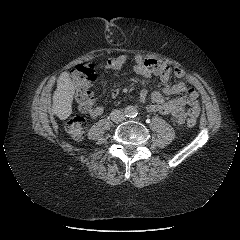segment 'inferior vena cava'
<instances>
[{"instance_id": "1", "label": "inferior vena cava", "mask_w": 240, "mask_h": 240, "mask_svg": "<svg viewBox=\"0 0 240 240\" xmlns=\"http://www.w3.org/2000/svg\"><path fill=\"white\" fill-rule=\"evenodd\" d=\"M125 119L124 113L120 110H113L111 112V120L115 123L122 122Z\"/></svg>"}]
</instances>
